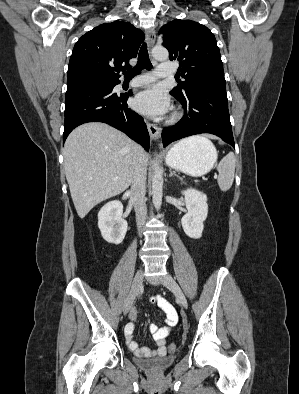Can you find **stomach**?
Listing matches in <instances>:
<instances>
[{"mask_svg": "<svg viewBox=\"0 0 299 394\" xmlns=\"http://www.w3.org/2000/svg\"><path fill=\"white\" fill-rule=\"evenodd\" d=\"M217 160L213 144L198 141L191 137L174 145L166 155L169 167L191 176L208 173Z\"/></svg>", "mask_w": 299, "mask_h": 394, "instance_id": "stomach-1", "label": "stomach"}]
</instances>
